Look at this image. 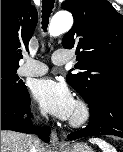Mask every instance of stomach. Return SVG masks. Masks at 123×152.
<instances>
[{"instance_id":"0dacf381","label":"stomach","mask_w":123,"mask_h":152,"mask_svg":"<svg viewBox=\"0 0 123 152\" xmlns=\"http://www.w3.org/2000/svg\"><path fill=\"white\" fill-rule=\"evenodd\" d=\"M59 152H94L87 144L82 142L74 143L70 147H66Z\"/></svg>"}]
</instances>
